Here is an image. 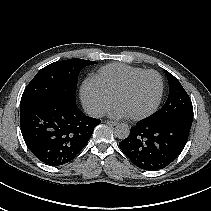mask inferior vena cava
Segmentation results:
<instances>
[{
    "instance_id": "inferior-vena-cava-1",
    "label": "inferior vena cava",
    "mask_w": 211,
    "mask_h": 211,
    "mask_svg": "<svg viewBox=\"0 0 211 211\" xmlns=\"http://www.w3.org/2000/svg\"><path fill=\"white\" fill-rule=\"evenodd\" d=\"M87 114L91 117L99 118L104 116V108L103 107H90L87 109Z\"/></svg>"
}]
</instances>
